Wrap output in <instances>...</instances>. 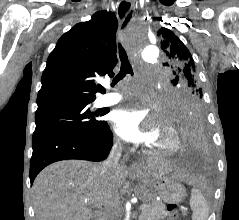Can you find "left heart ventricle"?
I'll use <instances>...</instances> for the list:
<instances>
[{
    "mask_svg": "<svg viewBox=\"0 0 239 220\" xmlns=\"http://www.w3.org/2000/svg\"><path fill=\"white\" fill-rule=\"evenodd\" d=\"M169 137L163 126L158 125L154 131V135L149 144L153 146H164L168 143Z\"/></svg>",
    "mask_w": 239,
    "mask_h": 220,
    "instance_id": "1",
    "label": "left heart ventricle"
}]
</instances>
